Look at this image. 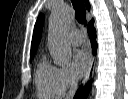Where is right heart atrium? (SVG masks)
I'll use <instances>...</instances> for the list:
<instances>
[{"mask_svg":"<svg viewBox=\"0 0 128 99\" xmlns=\"http://www.w3.org/2000/svg\"><path fill=\"white\" fill-rule=\"evenodd\" d=\"M58 80L64 91L77 84V79L74 73L66 67L58 68Z\"/></svg>","mask_w":128,"mask_h":99,"instance_id":"right-heart-atrium-1","label":"right heart atrium"}]
</instances>
